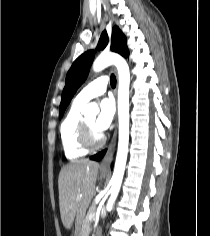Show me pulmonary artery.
Segmentation results:
<instances>
[{
  "label": "pulmonary artery",
  "mask_w": 210,
  "mask_h": 236,
  "mask_svg": "<svg viewBox=\"0 0 210 236\" xmlns=\"http://www.w3.org/2000/svg\"><path fill=\"white\" fill-rule=\"evenodd\" d=\"M107 85L108 77H99L84 87L77 95L76 100L86 104L96 96L103 94L107 89Z\"/></svg>",
  "instance_id": "pulmonary-artery-1"
}]
</instances>
